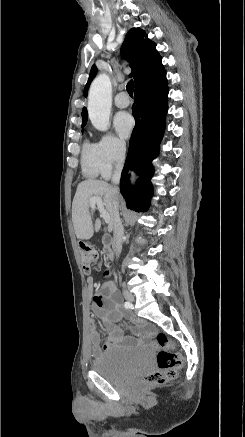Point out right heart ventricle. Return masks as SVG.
<instances>
[{
  "instance_id": "e07e8e85",
  "label": "right heart ventricle",
  "mask_w": 245,
  "mask_h": 437,
  "mask_svg": "<svg viewBox=\"0 0 245 437\" xmlns=\"http://www.w3.org/2000/svg\"><path fill=\"white\" fill-rule=\"evenodd\" d=\"M81 165L85 175L96 177L101 174V167L97 159L95 144L85 141L81 154Z\"/></svg>"
}]
</instances>
